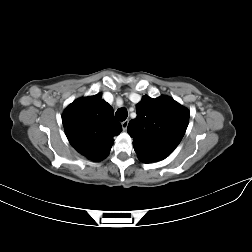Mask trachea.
<instances>
[{"mask_svg":"<svg viewBox=\"0 0 252 252\" xmlns=\"http://www.w3.org/2000/svg\"><path fill=\"white\" fill-rule=\"evenodd\" d=\"M116 118L119 120V121H125L127 116H128V112L125 108H119L117 111H116Z\"/></svg>","mask_w":252,"mask_h":252,"instance_id":"obj_1","label":"trachea"}]
</instances>
